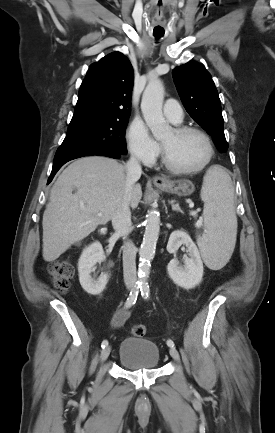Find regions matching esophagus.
Listing matches in <instances>:
<instances>
[{
	"label": "esophagus",
	"instance_id": "34e87169",
	"mask_svg": "<svg viewBox=\"0 0 275 433\" xmlns=\"http://www.w3.org/2000/svg\"><path fill=\"white\" fill-rule=\"evenodd\" d=\"M153 183L157 186H162L168 183V180L163 176H155L153 178Z\"/></svg>",
	"mask_w": 275,
	"mask_h": 433
}]
</instances>
